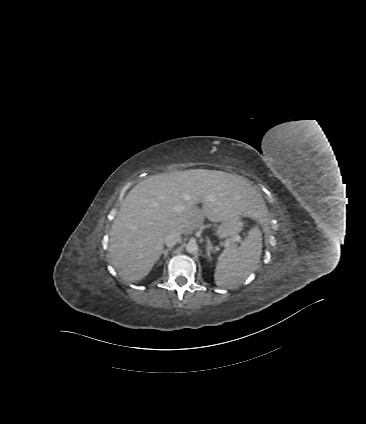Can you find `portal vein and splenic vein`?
Wrapping results in <instances>:
<instances>
[{
  "mask_svg": "<svg viewBox=\"0 0 366 424\" xmlns=\"http://www.w3.org/2000/svg\"><path fill=\"white\" fill-rule=\"evenodd\" d=\"M175 211H181V207H174L173 208ZM233 240L234 241H237V242H241V238H240V236H234L233 237ZM225 245H229V243L228 242H226V244Z\"/></svg>",
  "mask_w": 366,
  "mask_h": 424,
  "instance_id": "obj_1",
  "label": "portal vein and splenic vein"
}]
</instances>
